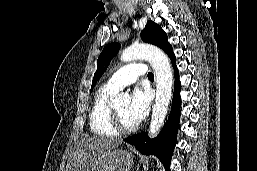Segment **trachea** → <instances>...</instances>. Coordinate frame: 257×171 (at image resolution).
I'll use <instances>...</instances> for the list:
<instances>
[{"label": "trachea", "mask_w": 257, "mask_h": 171, "mask_svg": "<svg viewBox=\"0 0 257 171\" xmlns=\"http://www.w3.org/2000/svg\"><path fill=\"white\" fill-rule=\"evenodd\" d=\"M148 78H149V79H154V75H153L152 72H149V73H148Z\"/></svg>", "instance_id": "1"}]
</instances>
